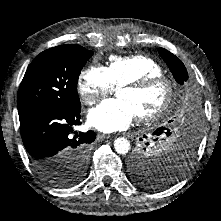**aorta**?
Here are the masks:
<instances>
[{"label":"aorta","mask_w":221,"mask_h":221,"mask_svg":"<svg viewBox=\"0 0 221 221\" xmlns=\"http://www.w3.org/2000/svg\"><path fill=\"white\" fill-rule=\"evenodd\" d=\"M130 148V142L126 138L120 137L114 141V149L118 154H127Z\"/></svg>","instance_id":"1"}]
</instances>
